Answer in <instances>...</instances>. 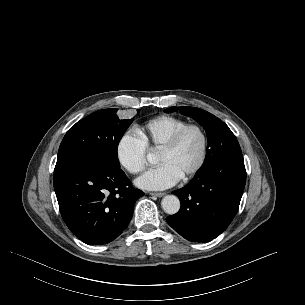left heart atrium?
Here are the masks:
<instances>
[{
    "mask_svg": "<svg viewBox=\"0 0 305 305\" xmlns=\"http://www.w3.org/2000/svg\"><path fill=\"white\" fill-rule=\"evenodd\" d=\"M182 175L169 163H161L136 180V184L147 190H163L180 181Z\"/></svg>",
    "mask_w": 305,
    "mask_h": 305,
    "instance_id": "left-heart-atrium-1",
    "label": "left heart atrium"
}]
</instances>
